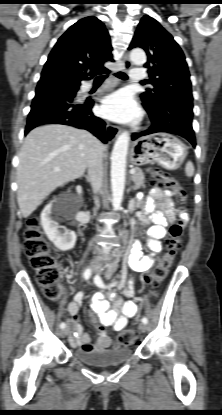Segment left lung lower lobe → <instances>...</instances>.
<instances>
[{"label":"left lung lower lobe","mask_w":222,"mask_h":415,"mask_svg":"<svg viewBox=\"0 0 222 415\" xmlns=\"http://www.w3.org/2000/svg\"><path fill=\"white\" fill-rule=\"evenodd\" d=\"M174 98L180 100V107L173 114H162V109L169 106ZM193 97L191 84L176 83L172 87H165L160 92L156 106H144L151 118L152 125L145 131L135 133L132 138L149 135L158 132H166L179 135L196 146L194 131L192 128Z\"/></svg>","instance_id":"left-lung-lower-lobe-1"}]
</instances>
